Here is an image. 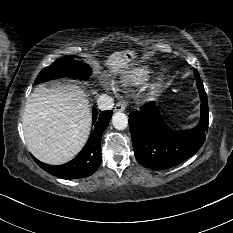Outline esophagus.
<instances>
[{
	"mask_svg": "<svg viewBox=\"0 0 233 233\" xmlns=\"http://www.w3.org/2000/svg\"><path fill=\"white\" fill-rule=\"evenodd\" d=\"M127 107V102L126 101H120L116 104L114 111L115 112H123Z\"/></svg>",
	"mask_w": 233,
	"mask_h": 233,
	"instance_id": "1",
	"label": "esophagus"
}]
</instances>
